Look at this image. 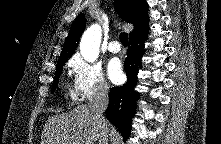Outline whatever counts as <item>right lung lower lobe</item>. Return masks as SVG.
<instances>
[{
    "label": "right lung lower lobe",
    "mask_w": 221,
    "mask_h": 144,
    "mask_svg": "<svg viewBox=\"0 0 221 144\" xmlns=\"http://www.w3.org/2000/svg\"><path fill=\"white\" fill-rule=\"evenodd\" d=\"M147 36L148 28L130 37L128 55L124 63L127 82L122 87H113L110 90L106 117L120 130L124 141L130 136L132 117L135 114L136 101L140 96L138 92L134 91V87Z\"/></svg>",
    "instance_id": "1"
}]
</instances>
